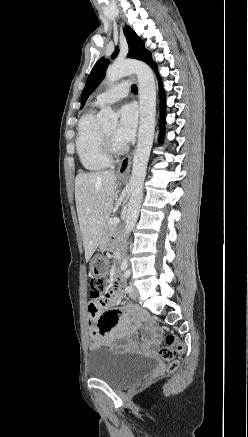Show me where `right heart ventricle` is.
Masks as SVG:
<instances>
[{
    "label": "right heart ventricle",
    "instance_id": "right-heart-ventricle-1",
    "mask_svg": "<svg viewBox=\"0 0 248 437\" xmlns=\"http://www.w3.org/2000/svg\"><path fill=\"white\" fill-rule=\"evenodd\" d=\"M76 150L82 166L88 171L103 170L111 163L103 150L102 129L94 110L85 113L78 123Z\"/></svg>",
    "mask_w": 248,
    "mask_h": 437
}]
</instances>
